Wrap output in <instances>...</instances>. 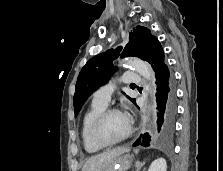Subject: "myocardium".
Listing matches in <instances>:
<instances>
[{"mask_svg":"<svg viewBox=\"0 0 223 171\" xmlns=\"http://www.w3.org/2000/svg\"><path fill=\"white\" fill-rule=\"evenodd\" d=\"M113 113L124 114L118 108H114V107L105 108L95 117V119L93 120L91 127H90V135H91L92 140L98 146H101L103 148L111 147V146L117 145V144L125 141L126 139H128L131 136V134L133 132V126H132L131 120L124 114L128 119V130H127L126 134L124 136H122L120 139L115 140V141L105 140L101 136V133H100L101 125L104 122V120L106 119V117Z\"/></svg>","mask_w":223,"mask_h":171,"instance_id":"obj_1","label":"myocardium"}]
</instances>
